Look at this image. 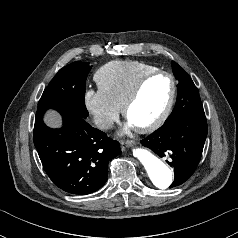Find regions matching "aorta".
I'll use <instances>...</instances> for the list:
<instances>
[{"mask_svg": "<svg viewBox=\"0 0 238 238\" xmlns=\"http://www.w3.org/2000/svg\"><path fill=\"white\" fill-rule=\"evenodd\" d=\"M133 156L143 165L152 183L159 189H166L172 183L171 170L150 151L136 147Z\"/></svg>", "mask_w": 238, "mask_h": 238, "instance_id": "aorta-1", "label": "aorta"}]
</instances>
